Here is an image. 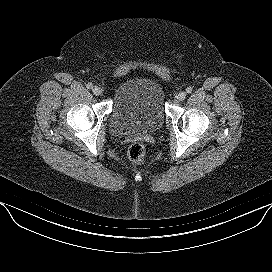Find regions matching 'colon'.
I'll list each match as a JSON object with an SVG mask.
<instances>
[{
    "label": "colon",
    "instance_id": "5ec220e1",
    "mask_svg": "<svg viewBox=\"0 0 272 272\" xmlns=\"http://www.w3.org/2000/svg\"><path fill=\"white\" fill-rule=\"evenodd\" d=\"M128 157L136 164H144L146 160L145 146L140 142L133 143L128 149Z\"/></svg>",
    "mask_w": 272,
    "mask_h": 272
}]
</instances>
